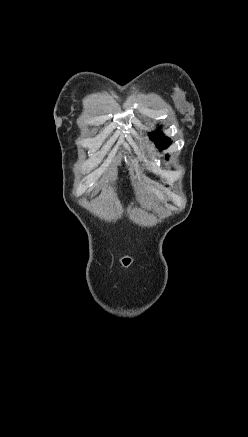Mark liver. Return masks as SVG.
<instances>
[{
    "label": "liver",
    "instance_id": "liver-1",
    "mask_svg": "<svg viewBox=\"0 0 248 437\" xmlns=\"http://www.w3.org/2000/svg\"><path fill=\"white\" fill-rule=\"evenodd\" d=\"M149 189V191H151V193H154L156 195V197L159 200H163L164 199V195L162 192H160L159 190L153 188V187H147Z\"/></svg>",
    "mask_w": 248,
    "mask_h": 437
}]
</instances>
